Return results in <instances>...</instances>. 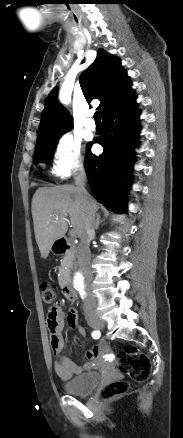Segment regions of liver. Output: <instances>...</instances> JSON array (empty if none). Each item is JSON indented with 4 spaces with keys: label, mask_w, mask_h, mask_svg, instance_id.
<instances>
[{
    "label": "liver",
    "mask_w": 183,
    "mask_h": 438,
    "mask_svg": "<svg viewBox=\"0 0 183 438\" xmlns=\"http://www.w3.org/2000/svg\"><path fill=\"white\" fill-rule=\"evenodd\" d=\"M94 212L98 204L89 194L84 200L76 187L71 185L39 188L32 199L34 232L41 257L46 259L53 244L62 238L67 230V214L75 234L81 237L85 228L88 210ZM58 216V219L55 216Z\"/></svg>",
    "instance_id": "6515ba94"
}]
</instances>
